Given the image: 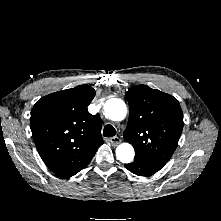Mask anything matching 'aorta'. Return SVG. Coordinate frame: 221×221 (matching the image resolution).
<instances>
[{
    "label": "aorta",
    "mask_w": 221,
    "mask_h": 221,
    "mask_svg": "<svg viewBox=\"0 0 221 221\" xmlns=\"http://www.w3.org/2000/svg\"><path fill=\"white\" fill-rule=\"evenodd\" d=\"M104 115L113 121H122L127 114V107L123 100L112 98L103 107ZM134 148L129 143H122L116 148V157L122 163H130L134 159Z\"/></svg>",
    "instance_id": "aorta-1"
}]
</instances>
